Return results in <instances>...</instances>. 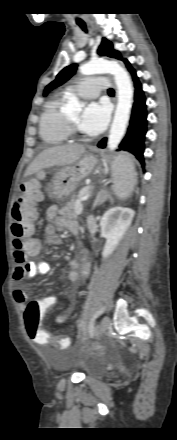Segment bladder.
<instances>
[{
  "instance_id": "obj_1",
  "label": "bladder",
  "mask_w": 177,
  "mask_h": 440,
  "mask_svg": "<svg viewBox=\"0 0 177 440\" xmlns=\"http://www.w3.org/2000/svg\"><path fill=\"white\" fill-rule=\"evenodd\" d=\"M66 361L80 369L87 378H100L104 372L101 357L83 354L68 356Z\"/></svg>"
}]
</instances>
